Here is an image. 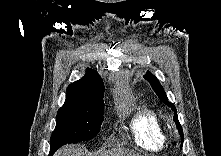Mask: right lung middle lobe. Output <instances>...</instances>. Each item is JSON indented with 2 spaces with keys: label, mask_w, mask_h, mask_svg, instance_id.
Returning a JSON list of instances; mask_svg holds the SVG:
<instances>
[{
  "label": "right lung middle lobe",
  "mask_w": 221,
  "mask_h": 156,
  "mask_svg": "<svg viewBox=\"0 0 221 156\" xmlns=\"http://www.w3.org/2000/svg\"><path fill=\"white\" fill-rule=\"evenodd\" d=\"M104 102L63 105L50 138V154L67 144L93 139L103 121Z\"/></svg>",
  "instance_id": "obj_1"
}]
</instances>
